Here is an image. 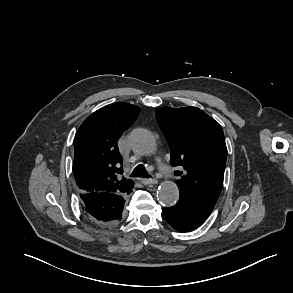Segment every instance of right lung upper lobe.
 <instances>
[{"instance_id":"1","label":"right lung upper lobe","mask_w":293,"mask_h":293,"mask_svg":"<svg viewBox=\"0 0 293 293\" xmlns=\"http://www.w3.org/2000/svg\"><path fill=\"white\" fill-rule=\"evenodd\" d=\"M140 108L117 102L91 114L74 139L73 172L85 193H125L133 182L122 177L123 159L117 141L139 115Z\"/></svg>"}]
</instances>
